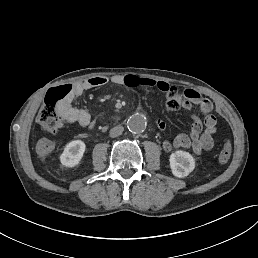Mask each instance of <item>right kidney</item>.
<instances>
[{"instance_id":"right-kidney-1","label":"right kidney","mask_w":258,"mask_h":258,"mask_svg":"<svg viewBox=\"0 0 258 258\" xmlns=\"http://www.w3.org/2000/svg\"><path fill=\"white\" fill-rule=\"evenodd\" d=\"M84 150H85V145L83 142L79 140L70 142L66 146L65 151L61 156L62 164L69 167L75 166L81 159Z\"/></svg>"}]
</instances>
